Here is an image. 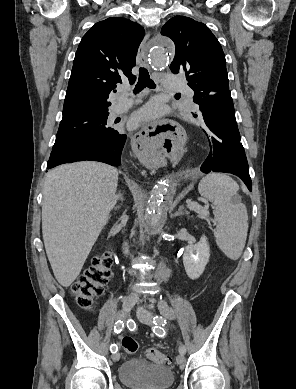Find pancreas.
I'll use <instances>...</instances> for the list:
<instances>
[{
	"label": "pancreas",
	"mask_w": 296,
	"mask_h": 389,
	"mask_svg": "<svg viewBox=\"0 0 296 389\" xmlns=\"http://www.w3.org/2000/svg\"><path fill=\"white\" fill-rule=\"evenodd\" d=\"M206 208H203L200 206V210H196V212L199 214L200 217H203L204 215L202 214V211H206Z\"/></svg>",
	"instance_id": "cf45deb5"
}]
</instances>
